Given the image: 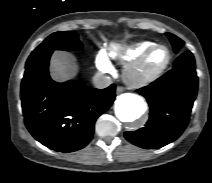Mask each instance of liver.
Here are the masks:
<instances>
[{
	"label": "liver",
	"instance_id": "1",
	"mask_svg": "<svg viewBox=\"0 0 212 183\" xmlns=\"http://www.w3.org/2000/svg\"><path fill=\"white\" fill-rule=\"evenodd\" d=\"M50 73L55 81L63 82L75 75L76 66L68 53L56 52L50 61Z\"/></svg>",
	"mask_w": 212,
	"mask_h": 183
}]
</instances>
